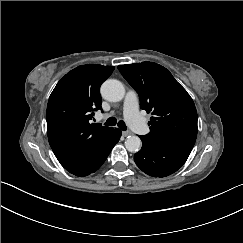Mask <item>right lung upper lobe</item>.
<instances>
[{
	"instance_id": "cb5924a9",
	"label": "right lung upper lobe",
	"mask_w": 243,
	"mask_h": 243,
	"mask_svg": "<svg viewBox=\"0 0 243 243\" xmlns=\"http://www.w3.org/2000/svg\"><path fill=\"white\" fill-rule=\"evenodd\" d=\"M114 67L88 64L68 72L56 85L47 105L49 144L64 168L87 158L114 128L91 123L101 109L100 86Z\"/></svg>"
}]
</instances>
